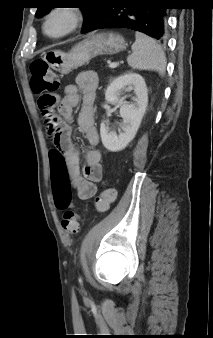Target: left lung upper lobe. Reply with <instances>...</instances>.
<instances>
[{
  "mask_svg": "<svg viewBox=\"0 0 213 338\" xmlns=\"http://www.w3.org/2000/svg\"><path fill=\"white\" fill-rule=\"evenodd\" d=\"M39 2H41L42 5L38 7V10L35 14L36 17H41L45 15L51 9V7H49L47 3H45L47 1L42 0ZM81 2L87 4L85 7L81 8L84 15L83 29H85L100 11L103 0H82Z\"/></svg>",
  "mask_w": 213,
  "mask_h": 338,
  "instance_id": "1",
  "label": "left lung upper lobe"
}]
</instances>
